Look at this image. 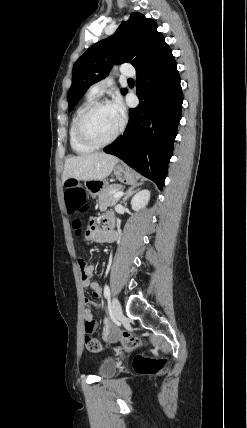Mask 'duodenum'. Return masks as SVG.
I'll use <instances>...</instances> for the list:
<instances>
[{"instance_id":"duodenum-1","label":"duodenum","mask_w":247,"mask_h":428,"mask_svg":"<svg viewBox=\"0 0 247 428\" xmlns=\"http://www.w3.org/2000/svg\"><path fill=\"white\" fill-rule=\"evenodd\" d=\"M110 226H111V222H110V221H106V222L104 223V229H105V230H108V229L110 228Z\"/></svg>"}]
</instances>
